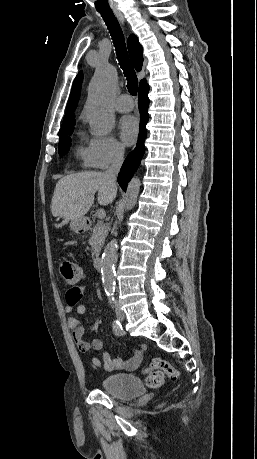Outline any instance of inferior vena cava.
<instances>
[{
	"mask_svg": "<svg viewBox=\"0 0 257 459\" xmlns=\"http://www.w3.org/2000/svg\"><path fill=\"white\" fill-rule=\"evenodd\" d=\"M124 159L123 148H116L112 154L111 165L106 170L105 175L113 188H116L117 175L120 171Z\"/></svg>",
	"mask_w": 257,
	"mask_h": 459,
	"instance_id": "1",
	"label": "inferior vena cava"
}]
</instances>
